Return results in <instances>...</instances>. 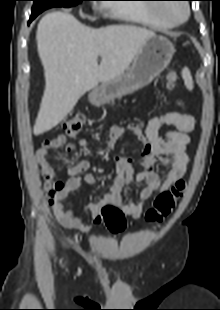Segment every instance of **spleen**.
<instances>
[{
    "label": "spleen",
    "instance_id": "3e777b00",
    "mask_svg": "<svg viewBox=\"0 0 220 310\" xmlns=\"http://www.w3.org/2000/svg\"><path fill=\"white\" fill-rule=\"evenodd\" d=\"M182 76H183L186 87L189 90H192L193 89V80H192V76H191L188 68H185L183 70Z\"/></svg>",
    "mask_w": 220,
    "mask_h": 310
}]
</instances>
